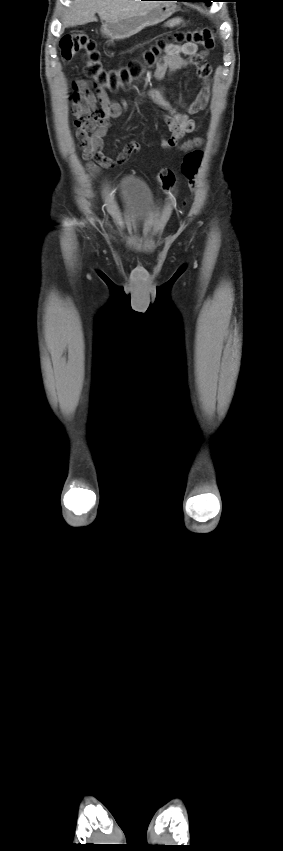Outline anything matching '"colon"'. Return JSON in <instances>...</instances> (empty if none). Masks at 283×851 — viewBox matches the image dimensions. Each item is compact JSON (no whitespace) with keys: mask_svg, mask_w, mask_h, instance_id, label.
I'll return each mask as SVG.
<instances>
[{"mask_svg":"<svg viewBox=\"0 0 283 851\" xmlns=\"http://www.w3.org/2000/svg\"><path fill=\"white\" fill-rule=\"evenodd\" d=\"M174 43H192L210 49L215 45V31L211 28L178 30L161 37L150 49L144 52V65L148 67L158 65L162 52H165L168 45ZM59 47L62 59L65 62L71 61L80 52L84 54V73L91 79L95 88H108L114 92L126 89L132 81L141 78L143 73V66L140 63H133L120 70L104 69L96 42L83 31L67 34L61 39ZM201 159V151L189 152L184 157L181 171L188 179L191 187H194ZM156 178L163 189L169 193L174 185V173L171 170L163 169L157 174Z\"/></svg>","mask_w":283,"mask_h":851,"instance_id":"1","label":"colon"}]
</instances>
